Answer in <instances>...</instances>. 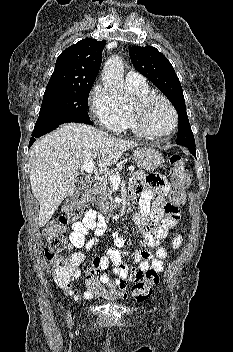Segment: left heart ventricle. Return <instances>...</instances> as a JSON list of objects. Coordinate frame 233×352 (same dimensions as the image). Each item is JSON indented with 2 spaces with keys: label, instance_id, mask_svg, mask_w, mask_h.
Segmentation results:
<instances>
[{
  "label": "left heart ventricle",
  "instance_id": "left-heart-ventricle-1",
  "mask_svg": "<svg viewBox=\"0 0 233 352\" xmlns=\"http://www.w3.org/2000/svg\"><path fill=\"white\" fill-rule=\"evenodd\" d=\"M135 105L136 103L131 108ZM172 122V113L162 100H153L144 110L143 123L150 132L164 133L171 128Z\"/></svg>",
  "mask_w": 233,
  "mask_h": 352
}]
</instances>
